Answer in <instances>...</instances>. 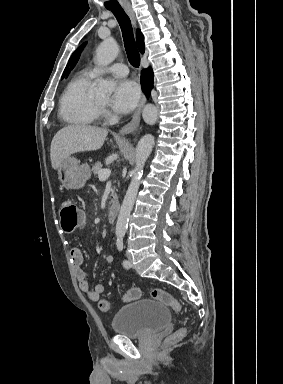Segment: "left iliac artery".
<instances>
[{
	"mask_svg": "<svg viewBox=\"0 0 283 384\" xmlns=\"http://www.w3.org/2000/svg\"><path fill=\"white\" fill-rule=\"evenodd\" d=\"M123 248H124L123 239L121 237H119L117 239V249L121 252L123 250ZM123 266L125 268H129L130 267L129 261L123 260Z\"/></svg>",
	"mask_w": 283,
	"mask_h": 384,
	"instance_id": "44dca946",
	"label": "left iliac artery"
}]
</instances>
